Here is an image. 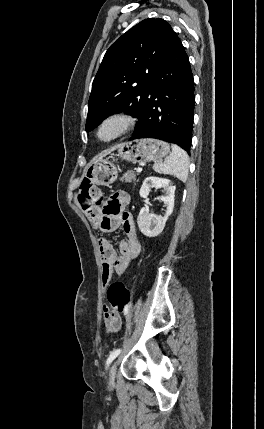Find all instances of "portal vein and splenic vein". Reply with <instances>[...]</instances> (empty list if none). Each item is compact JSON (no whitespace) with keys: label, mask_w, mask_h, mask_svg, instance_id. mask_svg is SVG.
Instances as JSON below:
<instances>
[{"label":"portal vein and splenic vein","mask_w":264,"mask_h":429,"mask_svg":"<svg viewBox=\"0 0 264 429\" xmlns=\"http://www.w3.org/2000/svg\"><path fill=\"white\" fill-rule=\"evenodd\" d=\"M136 172H137V173L142 172V168H141V167H138V168L136 169Z\"/></svg>","instance_id":"1"}]
</instances>
